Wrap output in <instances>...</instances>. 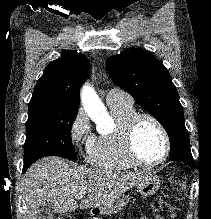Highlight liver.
Here are the masks:
<instances>
[{
    "label": "liver",
    "mask_w": 211,
    "mask_h": 219,
    "mask_svg": "<svg viewBox=\"0 0 211 219\" xmlns=\"http://www.w3.org/2000/svg\"><path fill=\"white\" fill-rule=\"evenodd\" d=\"M149 171L125 173L71 167L55 156L43 158L34 163L23 179L28 219H37L38 208L44 201L51 202L53 212L75 211L78 193L87 194L80 209L99 207L110 202L129 188L142 182Z\"/></svg>",
    "instance_id": "obj_1"
}]
</instances>
